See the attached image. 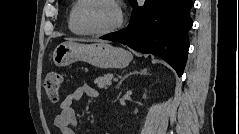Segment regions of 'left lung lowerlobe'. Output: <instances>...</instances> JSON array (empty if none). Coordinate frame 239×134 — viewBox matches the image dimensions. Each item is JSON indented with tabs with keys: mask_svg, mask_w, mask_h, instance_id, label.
<instances>
[{
	"mask_svg": "<svg viewBox=\"0 0 239 134\" xmlns=\"http://www.w3.org/2000/svg\"><path fill=\"white\" fill-rule=\"evenodd\" d=\"M131 22L122 31L102 36L141 53L157 55L182 76L189 50L188 30L192 27L189 11L192 0H134Z\"/></svg>",
	"mask_w": 239,
	"mask_h": 134,
	"instance_id": "1",
	"label": "left lung lower lobe"
}]
</instances>
